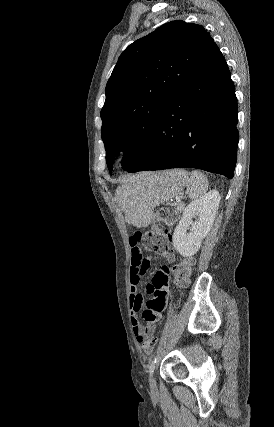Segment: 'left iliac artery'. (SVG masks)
<instances>
[{
  "mask_svg": "<svg viewBox=\"0 0 274 427\" xmlns=\"http://www.w3.org/2000/svg\"><path fill=\"white\" fill-rule=\"evenodd\" d=\"M157 358H154L148 366L150 375L153 374Z\"/></svg>",
  "mask_w": 274,
  "mask_h": 427,
  "instance_id": "44dca946",
  "label": "left iliac artery"
}]
</instances>
